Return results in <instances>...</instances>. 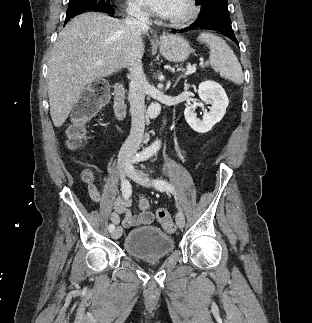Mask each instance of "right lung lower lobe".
I'll return each mask as SVG.
<instances>
[{
	"instance_id": "obj_1",
	"label": "right lung lower lobe",
	"mask_w": 312,
	"mask_h": 323,
	"mask_svg": "<svg viewBox=\"0 0 312 323\" xmlns=\"http://www.w3.org/2000/svg\"><path fill=\"white\" fill-rule=\"evenodd\" d=\"M101 12H105V13H108V14H110L111 16H113L114 15V10H112V9H108V10H105V11H101ZM75 16V15H74ZM74 16H72V17H74ZM72 17H70V18H66V20H65V23H64V25L72 18Z\"/></svg>"
}]
</instances>
